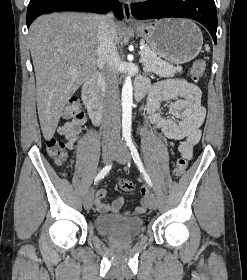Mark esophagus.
<instances>
[{"instance_id": "esophagus-1", "label": "esophagus", "mask_w": 247, "mask_h": 280, "mask_svg": "<svg viewBox=\"0 0 247 280\" xmlns=\"http://www.w3.org/2000/svg\"><path fill=\"white\" fill-rule=\"evenodd\" d=\"M123 13H124V19L127 23H135V19L133 18L131 12V3L129 1H126L123 4Z\"/></svg>"}]
</instances>
